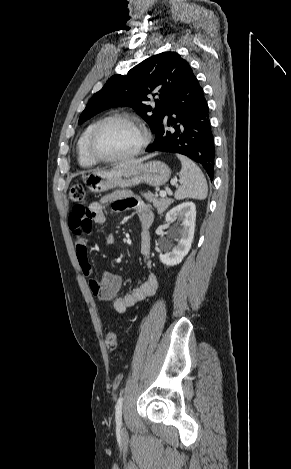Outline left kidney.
Returning a JSON list of instances; mask_svg holds the SVG:
<instances>
[{
    "label": "left kidney",
    "instance_id": "obj_1",
    "mask_svg": "<svg viewBox=\"0 0 291 469\" xmlns=\"http://www.w3.org/2000/svg\"><path fill=\"white\" fill-rule=\"evenodd\" d=\"M176 219L182 221L181 228L176 233L177 245L165 254L160 253V261L167 266H174L182 262L188 254L194 238L196 206L193 202H185L172 208L165 217L166 222Z\"/></svg>",
    "mask_w": 291,
    "mask_h": 469
}]
</instances>
